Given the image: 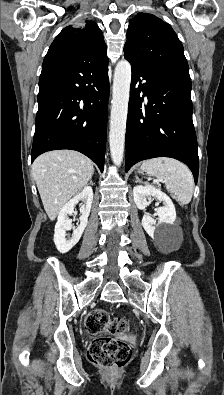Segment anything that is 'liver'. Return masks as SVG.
<instances>
[{"label":"liver","mask_w":224,"mask_h":395,"mask_svg":"<svg viewBox=\"0 0 224 395\" xmlns=\"http://www.w3.org/2000/svg\"><path fill=\"white\" fill-rule=\"evenodd\" d=\"M93 173V162L77 151H49L35 159L32 175L50 220L87 185Z\"/></svg>","instance_id":"liver-1"}]
</instances>
